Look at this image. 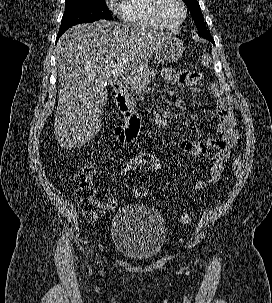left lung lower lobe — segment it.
<instances>
[{"label":"left lung lower lobe","mask_w":272,"mask_h":303,"mask_svg":"<svg viewBox=\"0 0 272 303\" xmlns=\"http://www.w3.org/2000/svg\"><path fill=\"white\" fill-rule=\"evenodd\" d=\"M207 40H209L210 42H212L213 44H215L213 38H210V39H207Z\"/></svg>","instance_id":"1"}]
</instances>
